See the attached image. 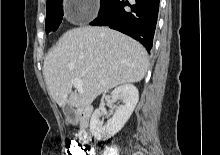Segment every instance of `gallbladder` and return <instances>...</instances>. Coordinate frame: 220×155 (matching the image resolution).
Returning <instances> with one entry per match:
<instances>
[{"mask_svg": "<svg viewBox=\"0 0 220 155\" xmlns=\"http://www.w3.org/2000/svg\"><path fill=\"white\" fill-rule=\"evenodd\" d=\"M63 112L71 123L75 124L77 122L76 114L69 105L63 108Z\"/></svg>", "mask_w": 220, "mask_h": 155, "instance_id": "bac80fb5", "label": "gallbladder"}]
</instances>
